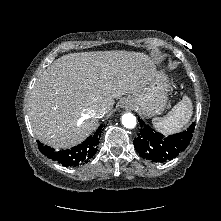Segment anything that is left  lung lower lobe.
<instances>
[{
	"mask_svg": "<svg viewBox=\"0 0 221 221\" xmlns=\"http://www.w3.org/2000/svg\"><path fill=\"white\" fill-rule=\"evenodd\" d=\"M138 120L141 129L138 137L134 139V147L141 157L154 162H164L178 156L188 146L195 128L193 123L187 131L165 137L155 132L143 120Z\"/></svg>",
	"mask_w": 221,
	"mask_h": 221,
	"instance_id": "0a47b994",
	"label": "left lung lower lobe"
}]
</instances>
